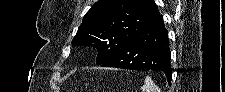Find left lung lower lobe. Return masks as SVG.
Segmentation results:
<instances>
[{"instance_id":"left-lung-lower-lobe-1","label":"left lung lower lobe","mask_w":225,"mask_h":92,"mask_svg":"<svg viewBox=\"0 0 225 92\" xmlns=\"http://www.w3.org/2000/svg\"><path fill=\"white\" fill-rule=\"evenodd\" d=\"M101 67H115L134 70L163 71L171 83L170 48L168 32L160 13L151 18Z\"/></svg>"}]
</instances>
